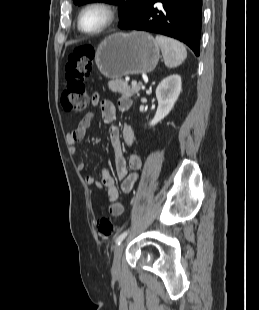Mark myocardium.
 Wrapping results in <instances>:
<instances>
[{"instance_id":"myocardium-1","label":"myocardium","mask_w":259,"mask_h":310,"mask_svg":"<svg viewBox=\"0 0 259 310\" xmlns=\"http://www.w3.org/2000/svg\"><path fill=\"white\" fill-rule=\"evenodd\" d=\"M101 9L106 14L105 22L97 29L94 30H87L82 25V17L84 13L90 9ZM117 19V9L116 7L107 1L97 0L92 1L86 4L79 12L77 16V26L78 29L87 35H98L103 33L104 31L108 30L116 21Z\"/></svg>"}]
</instances>
